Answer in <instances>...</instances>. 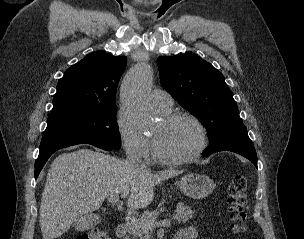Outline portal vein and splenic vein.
I'll use <instances>...</instances> for the list:
<instances>
[{
	"label": "portal vein and splenic vein",
	"instance_id": "18ae733b",
	"mask_svg": "<svg viewBox=\"0 0 304 239\" xmlns=\"http://www.w3.org/2000/svg\"><path fill=\"white\" fill-rule=\"evenodd\" d=\"M119 201V196L118 195H111L108 198V202L111 204L117 203ZM134 220V219H133ZM170 219H165L163 221L160 222H156L155 220H152L149 222L148 226L149 228L152 230L153 228H156L158 226H166L170 224Z\"/></svg>",
	"mask_w": 304,
	"mask_h": 239
}]
</instances>
